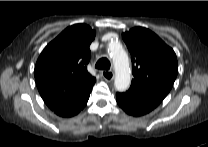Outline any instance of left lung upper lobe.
<instances>
[{
	"label": "left lung upper lobe",
	"mask_w": 208,
	"mask_h": 147,
	"mask_svg": "<svg viewBox=\"0 0 208 147\" xmlns=\"http://www.w3.org/2000/svg\"><path fill=\"white\" fill-rule=\"evenodd\" d=\"M132 60L134 79L131 87L165 98L178 73L175 52L155 33L143 27H135L123 33Z\"/></svg>",
	"instance_id": "1"
}]
</instances>
